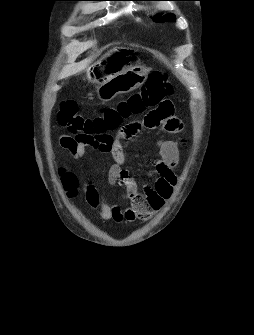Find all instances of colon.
Returning a JSON list of instances; mask_svg holds the SVG:
<instances>
[{
    "mask_svg": "<svg viewBox=\"0 0 254 335\" xmlns=\"http://www.w3.org/2000/svg\"><path fill=\"white\" fill-rule=\"evenodd\" d=\"M172 94L173 86L167 75L154 71L140 89L127 98L118 99L115 106L105 107L100 115L87 116L79 111L75 101L64 99L58 108L57 119L60 126L76 134L78 140L100 151H108L113 141L108 132L119 128L131 114L155 108V104H162V98Z\"/></svg>",
    "mask_w": 254,
    "mask_h": 335,
    "instance_id": "5ec220e1",
    "label": "colon"
}]
</instances>
